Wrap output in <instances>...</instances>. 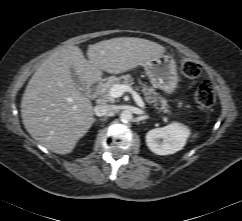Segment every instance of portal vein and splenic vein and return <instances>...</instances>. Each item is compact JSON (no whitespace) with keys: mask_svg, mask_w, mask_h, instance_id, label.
Returning <instances> with one entry per match:
<instances>
[{"mask_svg":"<svg viewBox=\"0 0 242 221\" xmlns=\"http://www.w3.org/2000/svg\"><path fill=\"white\" fill-rule=\"evenodd\" d=\"M125 92H130L133 95V98L135 100V102L137 103L138 106L144 108V102L142 100V98L137 94V92H135L130 86L128 85H124V84H118V85H114L111 89H110V95L113 98H119L121 97Z\"/></svg>","mask_w":242,"mask_h":221,"instance_id":"obj_1","label":"portal vein and splenic vein"}]
</instances>
